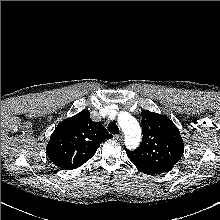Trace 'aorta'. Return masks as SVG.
<instances>
[{
	"mask_svg": "<svg viewBox=\"0 0 220 220\" xmlns=\"http://www.w3.org/2000/svg\"><path fill=\"white\" fill-rule=\"evenodd\" d=\"M118 123L125 134V145L129 149H135L141 142V128L138 121L129 113L121 112Z\"/></svg>",
	"mask_w": 220,
	"mask_h": 220,
	"instance_id": "762f6f07",
	"label": "aorta"
}]
</instances>
